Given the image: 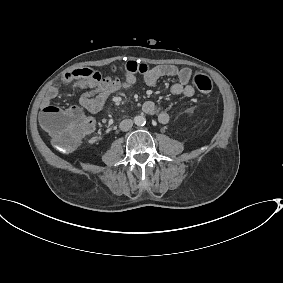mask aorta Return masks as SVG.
Masks as SVG:
<instances>
[{
  "mask_svg": "<svg viewBox=\"0 0 283 283\" xmlns=\"http://www.w3.org/2000/svg\"><path fill=\"white\" fill-rule=\"evenodd\" d=\"M134 123H135L137 126H143V125H145V123H146V119H145V117H143V116H135V118H134Z\"/></svg>",
  "mask_w": 283,
  "mask_h": 283,
  "instance_id": "1",
  "label": "aorta"
}]
</instances>
